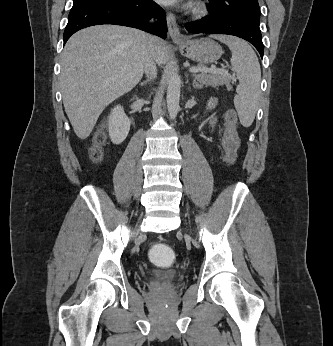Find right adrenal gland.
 <instances>
[{
    "label": "right adrenal gland",
    "mask_w": 333,
    "mask_h": 346,
    "mask_svg": "<svg viewBox=\"0 0 333 346\" xmlns=\"http://www.w3.org/2000/svg\"><path fill=\"white\" fill-rule=\"evenodd\" d=\"M147 82H148V80L141 82L140 86H145L147 84Z\"/></svg>",
    "instance_id": "2a0ac1e0"
}]
</instances>
